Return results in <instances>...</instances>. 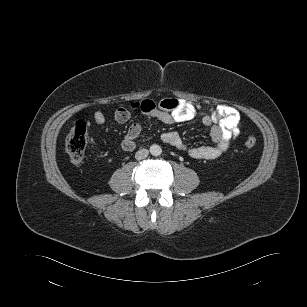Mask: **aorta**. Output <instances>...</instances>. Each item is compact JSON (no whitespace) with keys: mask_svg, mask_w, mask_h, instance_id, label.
I'll use <instances>...</instances> for the list:
<instances>
[{"mask_svg":"<svg viewBox=\"0 0 307 307\" xmlns=\"http://www.w3.org/2000/svg\"><path fill=\"white\" fill-rule=\"evenodd\" d=\"M150 153L153 156H159L162 153V148L159 145H157V144H153L150 147Z\"/></svg>","mask_w":307,"mask_h":307,"instance_id":"1","label":"aorta"}]
</instances>
